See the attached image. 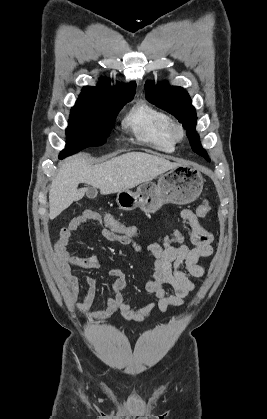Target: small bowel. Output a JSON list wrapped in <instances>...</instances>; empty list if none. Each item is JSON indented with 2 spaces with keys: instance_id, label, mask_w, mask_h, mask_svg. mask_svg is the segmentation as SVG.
Segmentation results:
<instances>
[{
  "instance_id": "c3829d8e",
  "label": "small bowel",
  "mask_w": 267,
  "mask_h": 419,
  "mask_svg": "<svg viewBox=\"0 0 267 419\" xmlns=\"http://www.w3.org/2000/svg\"><path fill=\"white\" fill-rule=\"evenodd\" d=\"M180 216L190 225V241L193 247L181 244L177 247L172 245H160L153 243L147 246V251L155 258V271L153 280L145 285L147 293L153 299L141 308L132 307L124 294L126 287V274L121 269H111L109 275L114 279L112 283L113 295L107 299V306L101 311H90L97 295L96 281L87 277V288L82 291L78 277L74 274V268L96 269L99 267L97 256L80 257L71 254L69 243L74 233L88 222L101 224V216L92 210H85L73 217L66 227L61 229L54 245V259L58 274L63 279L72 302H76L82 293L83 299L76 304L77 310L88 321H102L119 312L127 320L144 321L149 318L155 309L162 312L169 311L172 307L180 306L184 299L194 289L193 278H201L205 274L204 267L199 263L200 259L213 254V236L199 222L192 210L184 209ZM177 233V232H175ZM99 235L111 242H119L118 237L106 228L99 230ZM137 253L145 251L140 244L131 246ZM168 287L172 293L167 294Z\"/></svg>"
}]
</instances>
